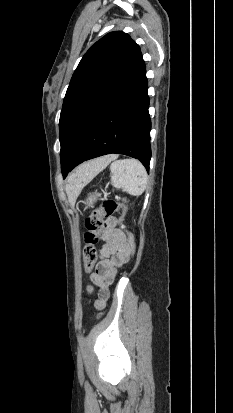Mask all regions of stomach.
Masks as SVG:
<instances>
[{
	"label": "stomach",
	"mask_w": 233,
	"mask_h": 413,
	"mask_svg": "<svg viewBox=\"0 0 233 413\" xmlns=\"http://www.w3.org/2000/svg\"><path fill=\"white\" fill-rule=\"evenodd\" d=\"M99 197L98 193H94L93 195H91L90 197L87 198L85 205L86 208H90L93 207L94 203L96 202L97 198Z\"/></svg>",
	"instance_id": "0dacf381"
}]
</instances>
